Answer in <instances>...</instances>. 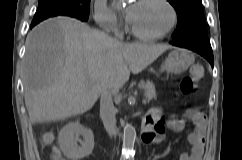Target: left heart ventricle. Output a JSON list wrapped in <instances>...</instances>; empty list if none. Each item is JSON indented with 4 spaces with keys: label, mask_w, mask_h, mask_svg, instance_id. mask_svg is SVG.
<instances>
[{
    "label": "left heart ventricle",
    "mask_w": 242,
    "mask_h": 160,
    "mask_svg": "<svg viewBox=\"0 0 242 160\" xmlns=\"http://www.w3.org/2000/svg\"><path fill=\"white\" fill-rule=\"evenodd\" d=\"M129 21L142 34H158L170 25L171 12L160 0H136Z\"/></svg>",
    "instance_id": "obj_1"
}]
</instances>
